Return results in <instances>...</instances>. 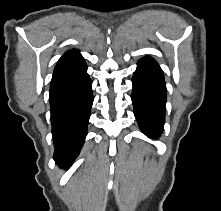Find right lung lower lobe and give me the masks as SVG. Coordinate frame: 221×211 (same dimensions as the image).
<instances>
[{"label": "right lung lower lobe", "instance_id": "1", "mask_svg": "<svg viewBox=\"0 0 221 211\" xmlns=\"http://www.w3.org/2000/svg\"><path fill=\"white\" fill-rule=\"evenodd\" d=\"M91 86L86 64L52 77L49 101L56 147L53 158L59 167H68L84 143L93 103Z\"/></svg>", "mask_w": 221, "mask_h": 211}]
</instances>
